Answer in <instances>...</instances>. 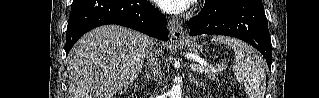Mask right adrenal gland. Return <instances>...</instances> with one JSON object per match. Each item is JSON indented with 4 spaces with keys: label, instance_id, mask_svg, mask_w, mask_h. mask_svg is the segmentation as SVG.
Returning <instances> with one entry per match:
<instances>
[{
    "label": "right adrenal gland",
    "instance_id": "obj_1",
    "mask_svg": "<svg viewBox=\"0 0 319 98\" xmlns=\"http://www.w3.org/2000/svg\"><path fill=\"white\" fill-rule=\"evenodd\" d=\"M143 78H147V79H149V78H150V74H149V72H148V73H146L145 75H143V76H142V79H143Z\"/></svg>",
    "mask_w": 319,
    "mask_h": 98
}]
</instances>
